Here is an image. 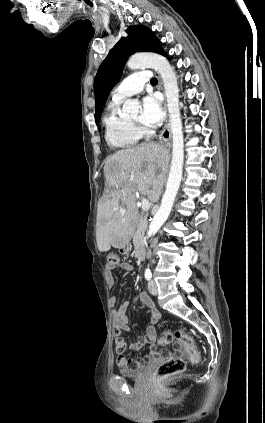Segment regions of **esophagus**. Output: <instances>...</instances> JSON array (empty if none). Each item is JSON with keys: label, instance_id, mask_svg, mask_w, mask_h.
<instances>
[{"label": "esophagus", "instance_id": "1", "mask_svg": "<svg viewBox=\"0 0 265 423\" xmlns=\"http://www.w3.org/2000/svg\"><path fill=\"white\" fill-rule=\"evenodd\" d=\"M158 78V87L159 89L164 93L163 89V82L159 74H156ZM166 108V106H165ZM171 140V126H170V119L169 115H166V121L163 130L161 131V134L159 136V141L163 143H169Z\"/></svg>", "mask_w": 265, "mask_h": 423}]
</instances>
